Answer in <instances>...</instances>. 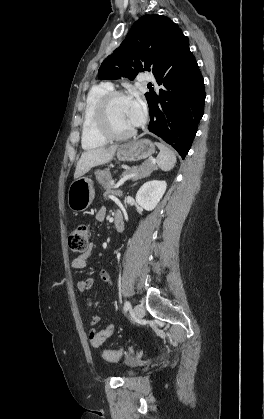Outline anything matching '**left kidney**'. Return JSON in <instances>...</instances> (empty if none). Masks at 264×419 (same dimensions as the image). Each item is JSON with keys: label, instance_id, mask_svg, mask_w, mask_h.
Masks as SVG:
<instances>
[{"label": "left kidney", "instance_id": "1", "mask_svg": "<svg viewBox=\"0 0 264 419\" xmlns=\"http://www.w3.org/2000/svg\"><path fill=\"white\" fill-rule=\"evenodd\" d=\"M167 188V184L163 180H151L144 183L136 194V202L145 210H153Z\"/></svg>", "mask_w": 264, "mask_h": 419}]
</instances>
